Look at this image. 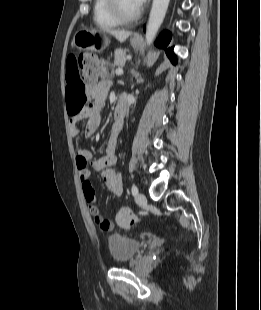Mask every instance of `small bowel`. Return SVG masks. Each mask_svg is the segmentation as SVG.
<instances>
[{"instance_id": "small-bowel-1", "label": "small bowel", "mask_w": 261, "mask_h": 310, "mask_svg": "<svg viewBox=\"0 0 261 310\" xmlns=\"http://www.w3.org/2000/svg\"><path fill=\"white\" fill-rule=\"evenodd\" d=\"M66 102L70 115V133L76 137L80 133L79 124L85 123L87 136L95 134L100 125V112L106 100L109 90L107 81H100L94 84H85L79 78L78 64L74 56H70L66 65ZM90 97L92 105L82 108L84 99ZM117 124L111 127L110 137L106 146L104 156L92 159L91 153L85 148H79L75 152L76 166L79 172L80 182L84 197L88 203L89 211L94 221L101 227L103 223H108L107 229L113 228V223L105 219L96 206V196L91 184L89 167L101 172L103 181L111 194L119 196L123 192V181L120 173L114 169L117 161V137L120 132Z\"/></svg>"}]
</instances>
